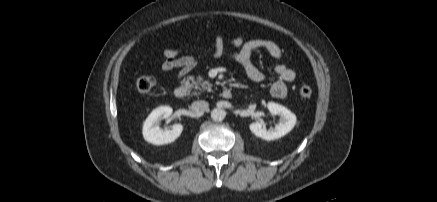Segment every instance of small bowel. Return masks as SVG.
<instances>
[{
	"label": "small bowel",
	"instance_id": "small-bowel-1",
	"mask_svg": "<svg viewBox=\"0 0 437 202\" xmlns=\"http://www.w3.org/2000/svg\"><path fill=\"white\" fill-rule=\"evenodd\" d=\"M230 47L236 51L229 53V57L238 63L244 70L247 77L254 82H271V94L275 98H284L287 94V84L294 81L296 74L294 70L285 65L277 64L273 68V75L267 76L257 68L252 62V55L257 50H265L273 58L281 59L283 51L274 41L267 39H251L244 41L241 37H236L230 42ZM227 52L224 38L217 35L214 40L213 49L210 53L212 58L223 57ZM164 60L159 69L162 72H169L177 69L176 78L181 79L190 73L197 64V59L191 54H183L180 49H165L163 51Z\"/></svg>",
	"mask_w": 437,
	"mask_h": 202
}]
</instances>
